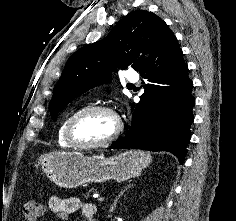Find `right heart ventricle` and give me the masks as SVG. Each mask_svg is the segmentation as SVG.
Segmentation results:
<instances>
[{"label":"right heart ventricle","mask_w":236,"mask_h":221,"mask_svg":"<svg viewBox=\"0 0 236 221\" xmlns=\"http://www.w3.org/2000/svg\"><path fill=\"white\" fill-rule=\"evenodd\" d=\"M76 112H77V110L68 113L64 117V119L61 121V123L58 127V130H57V143L61 148H64V149L72 148V146L65 139V127H66V123L69 120V118Z\"/></svg>","instance_id":"obj_1"}]
</instances>
